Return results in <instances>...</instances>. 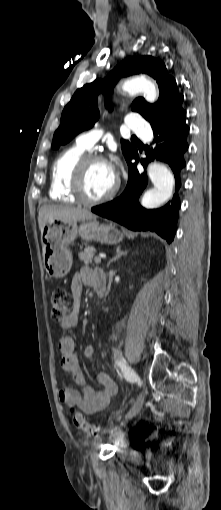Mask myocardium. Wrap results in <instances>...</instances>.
<instances>
[{
  "mask_svg": "<svg viewBox=\"0 0 221 510\" xmlns=\"http://www.w3.org/2000/svg\"><path fill=\"white\" fill-rule=\"evenodd\" d=\"M93 162H108V161L104 156L98 153L93 152L85 153L75 163L69 181L70 190L74 197L76 198V200L84 205L89 206L100 205L112 200L116 196L120 188V179L117 176L116 183L110 192L99 198H89L85 192L84 182L88 166Z\"/></svg>",
  "mask_w": 221,
  "mask_h": 510,
  "instance_id": "myocardium-1",
  "label": "myocardium"
}]
</instances>
